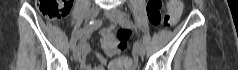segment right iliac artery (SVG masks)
Returning a JSON list of instances; mask_svg holds the SVG:
<instances>
[{
	"label": "right iliac artery",
	"instance_id": "1",
	"mask_svg": "<svg viewBox=\"0 0 238 70\" xmlns=\"http://www.w3.org/2000/svg\"><path fill=\"white\" fill-rule=\"evenodd\" d=\"M102 22L100 20H92L89 22V24H87L86 26H84L83 28H81L78 33H77V36L76 38L73 40V42L71 43V47L72 49L74 50L75 47H76V43H77V40L83 36L85 33L91 31V30H94V29H97L101 26Z\"/></svg>",
	"mask_w": 238,
	"mask_h": 70
}]
</instances>
